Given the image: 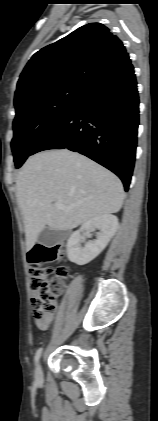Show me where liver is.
<instances>
[{"label": "liver", "mask_w": 158, "mask_h": 421, "mask_svg": "<svg viewBox=\"0 0 158 421\" xmlns=\"http://www.w3.org/2000/svg\"><path fill=\"white\" fill-rule=\"evenodd\" d=\"M16 189L27 250L46 226L71 230L91 218L118 212L124 200L123 185L115 174L67 149L29 157L17 176ZM57 201L66 209L55 208Z\"/></svg>", "instance_id": "6515ba94"}]
</instances>
